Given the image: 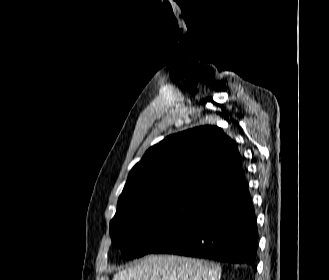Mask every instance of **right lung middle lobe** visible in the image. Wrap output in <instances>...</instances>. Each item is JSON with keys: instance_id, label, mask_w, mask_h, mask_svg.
Returning <instances> with one entry per match:
<instances>
[{"instance_id": "right-lung-middle-lobe-1", "label": "right lung middle lobe", "mask_w": 329, "mask_h": 280, "mask_svg": "<svg viewBox=\"0 0 329 280\" xmlns=\"http://www.w3.org/2000/svg\"><path fill=\"white\" fill-rule=\"evenodd\" d=\"M201 200L202 197L177 195L139 204H118L110 222L112 245L127 260L148 254L179 227Z\"/></svg>"}]
</instances>
